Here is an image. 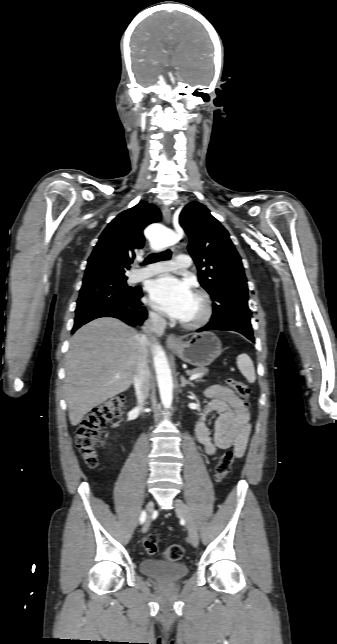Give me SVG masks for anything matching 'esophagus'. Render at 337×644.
<instances>
[{
	"instance_id": "34e87169",
	"label": "esophagus",
	"mask_w": 337,
	"mask_h": 644,
	"mask_svg": "<svg viewBox=\"0 0 337 644\" xmlns=\"http://www.w3.org/2000/svg\"><path fill=\"white\" fill-rule=\"evenodd\" d=\"M162 214H163V219H164V221H165L167 224H170V223H171V220H172L171 208H170V207H168V206H165V207L162 209ZM171 249H172V251H174V252H175V251L177 250V247H176V246H173V247H171ZM166 343H167V345H168V346H178V345H180L181 340H180V338H178L176 335H174V334H170V335H168V337H167Z\"/></svg>"
}]
</instances>
